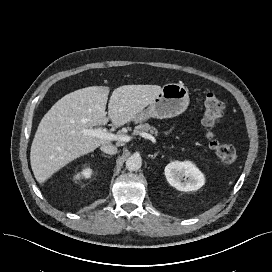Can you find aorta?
I'll return each instance as SVG.
<instances>
[{"instance_id":"1","label":"aorta","mask_w":272,"mask_h":272,"mask_svg":"<svg viewBox=\"0 0 272 272\" xmlns=\"http://www.w3.org/2000/svg\"><path fill=\"white\" fill-rule=\"evenodd\" d=\"M142 165V159L139 155H132L126 161V168L129 171H137Z\"/></svg>"}]
</instances>
